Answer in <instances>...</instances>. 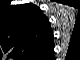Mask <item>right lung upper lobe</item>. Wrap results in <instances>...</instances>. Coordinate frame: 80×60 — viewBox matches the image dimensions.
I'll return each mask as SVG.
<instances>
[{
	"mask_svg": "<svg viewBox=\"0 0 80 60\" xmlns=\"http://www.w3.org/2000/svg\"><path fill=\"white\" fill-rule=\"evenodd\" d=\"M8 10L7 39L15 49L32 55L48 47L47 18L35 5H12Z\"/></svg>",
	"mask_w": 80,
	"mask_h": 60,
	"instance_id": "obj_1",
	"label": "right lung upper lobe"
}]
</instances>
